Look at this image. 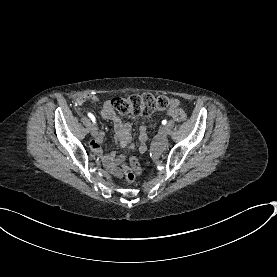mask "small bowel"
<instances>
[{"instance_id":"1","label":"small bowel","mask_w":277,"mask_h":277,"mask_svg":"<svg viewBox=\"0 0 277 277\" xmlns=\"http://www.w3.org/2000/svg\"><path fill=\"white\" fill-rule=\"evenodd\" d=\"M80 98L82 100H88L90 98V95L88 93H82L80 95ZM91 99L95 100L96 97L92 96ZM79 102L81 101L79 98L77 99ZM90 100V99H89ZM179 102L177 99L172 98L169 101V109H168V114L169 115H174L175 112L177 111ZM76 111L79 114H82V109L80 106L76 107ZM101 116L103 119H106L110 121L113 125L114 131L119 139V142L122 147H128L131 145L132 138H131V124L129 122H123L120 116L117 114L115 111L112 101L107 100L104 102L102 110H101ZM106 138V135L104 133H101L97 136V141L104 140ZM138 142L140 146V151L145 152L146 151V141H147V126L142 125L139 129V134H138ZM90 147L92 150L98 155L102 156V151L100 150L99 144L96 141H92L90 143ZM118 164H122L125 161L124 156H122L119 153L113 154V156H106L103 159V162L110 170L112 173H116L117 176H121V172L118 170L117 165H115V162Z\"/></svg>"}]
</instances>
